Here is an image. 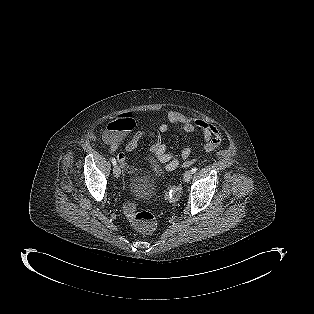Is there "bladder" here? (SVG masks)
<instances>
[{
    "instance_id": "bladder-1",
    "label": "bladder",
    "mask_w": 314,
    "mask_h": 314,
    "mask_svg": "<svg viewBox=\"0 0 314 314\" xmlns=\"http://www.w3.org/2000/svg\"><path fill=\"white\" fill-rule=\"evenodd\" d=\"M148 167L154 173L155 179L146 180L141 178H134L131 181L134 192L136 193L139 200L149 199L153 194L157 181L163 177L161 167L158 165L155 159H151L148 162Z\"/></svg>"
}]
</instances>
